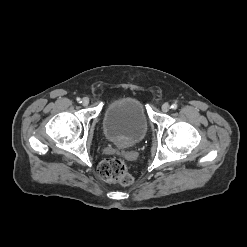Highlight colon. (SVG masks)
Returning <instances> with one entry per match:
<instances>
[{
	"label": "colon",
	"mask_w": 247,
	"mask_h": 247,
	"mask_svg": "<svg viewBox=\"0 0 247 247\" xmlns=\"http://www.w3.org/2000/svg\"><path fill=\"white\" fill-rule=\"evenodd\" d=\"M98 175L108 183L127 186L133 182V177L129 173L126 163L118 158L104 159L98 166Z\"/></svg>",
	"instance_id": "obj_1"
}]
</instances>
